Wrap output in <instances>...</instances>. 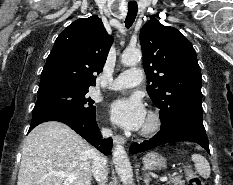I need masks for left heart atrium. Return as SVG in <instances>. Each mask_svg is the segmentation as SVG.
Returning <instances> with one entry per match:
<instances>
[{"instance_id": "39dd6f15", "label": "left heart atrium", "mask_w": 233, "mask_h": 185, "mask_svg": "<svg viewBox=\"0 0 233 185\" xmlns=\"http://www.w3.org/2000/svg\"><path fill=\"white\" fill-rule=\"evenodd\" d=\"M111 120L122 128L138 130L143 127L147 114L138 96L119 97L108 106Z\"/></svg>"}]
</instances>
